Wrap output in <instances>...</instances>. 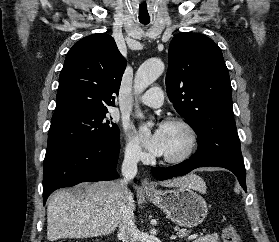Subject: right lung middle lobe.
I'll use <instances>...</instances> for the list:
<instances>
[{"instance_id":"obj_1","label":"right lung middle lobe","mask_w":279,"mask_h":242,"mask_svg":"<svg viewBox=\"0 0 279 242\" xmlns=\"http://www.w3.org/2000/svg\"><path fill=\"white\" fill-rule=\"evenodd\" d=\"M107 113L78 109L53 114L45 157L75 147L119 141L120 130L106 118Z\"/></svg>"}]
</instances>
